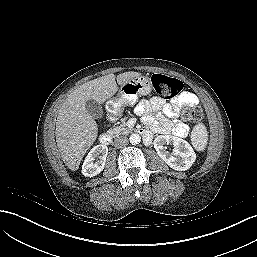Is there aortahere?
<instances>
[{
  "label": "aorta",
  "instance_id": "aorta-1",
  "mask_svg": "<svg viewBox=\"0 0 257 257\" xmlns=\"http://www.w3.org/2000/svg\"><path fill=\"white\" fill-rule=\"evenodd\" d=\"M129 141L132 145H136V144H139L140 141H141V137L139 134H131L130 137H129Z\"/></svg>",
  "mask_w": 257,
  "mask_h": 257
}]
</instances>
